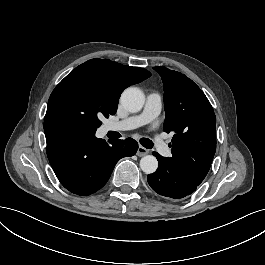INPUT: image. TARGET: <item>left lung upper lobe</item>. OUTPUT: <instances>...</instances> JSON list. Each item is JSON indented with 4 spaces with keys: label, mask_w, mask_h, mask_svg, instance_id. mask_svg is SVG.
Returning <instances> with one entry per match:
<instances>
[{
    "label": "left lung upper lobe",
    "mask_w": 265,
    "mask_h": 265,
    "mask_svg": "<svg viewBox=\"0 0 265 265\" xmlns=\"http://www.w3.org/2000/svg\"><path fill=\"white\" fill-rule=\"evenodd\" d=\"M164 84V130L174 132L168 161L196 181L206 177L216 151V117L202 90L186 75L154 68Z\"/></svg>",
    "instance_id": "left-lung-upper-lobe-1"
}]
</instances>
